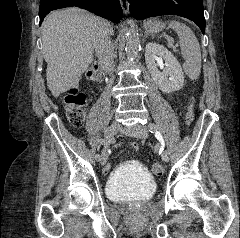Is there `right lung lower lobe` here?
I'll return each mask as SVG.
<instances>
[{
  "mask_svg": "<svg viewBox=\"0 0 240 238\" xmlns=\"http://www.w3.org/2000/svg\"><path fill=\"white\" fill-rule=\"evenodd\" d=\"M71 6L87 9L114 23H118L123 16L119 0H42L39 9L40 24L50 11Z\"/></svg>",
  "mask_w": 240,
  "mask_h": 238,
  "instance_id": "obj_1",
  "label": "right lung lower lobe"
}]
</instances>
